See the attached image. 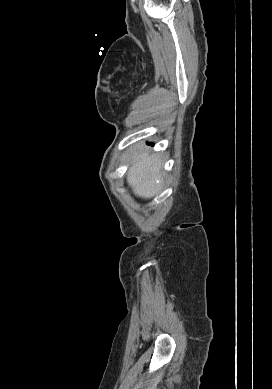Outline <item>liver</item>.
<instances>
[{"label":"liver","instance_id":"1","mask_svg":"<svg viewBox=\"0 0 272 389\" xmlns=\"http://www.w3.org/2000/svg\"><path fill=\"white\" fill-rule=\"evenodd\" d=\"M130 160L132 164L127 173V182L135 195L145 199L157 195L163 182L160 156L151 154L140 144L132 152Z\"/></svg>","mask_w":272,"mask_h":389}]
</instances>
